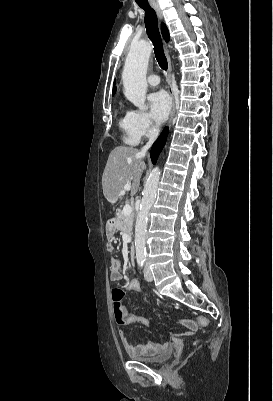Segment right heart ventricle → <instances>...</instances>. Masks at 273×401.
<instances>
[{"label":"right heart ventricle","mask_w":273,"mask_h":401,"mask_svg":"<svg viewBox=\"0 0 273 401\" xmlns=\"http://www.w3.org/2000/svg\"><path fill=\"white\" fill-rule=\"evenodd\" d=\"M120 108L122 110V117L119 120V127L125 133L124 141L129 145H136L140 139L131 132L128 111H124L123 106Z\"/></svg>","instance_id":"e07e8e85"}]
</instances>
